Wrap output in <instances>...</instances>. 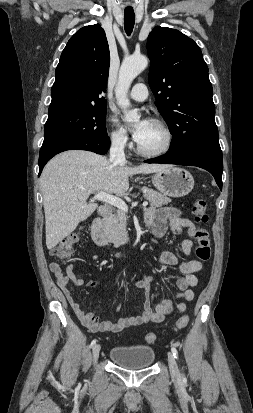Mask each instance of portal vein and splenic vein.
Listing matches in <instances>:
<instances>
[{
	"label": "portal vein and splenic vein",
	"instance_id": "1",
	"mask_svg": "<svg viewBox=\"0 0 253 413\" xmlns=\"http://www.w3.org/2000/svg\"><path fill=\"white\" fill-rule=\"evenodd\" d=\"M94 199L104 201L108 204H111V205L117 207L118 209H120L124 212H128V206L122 199H120L116 196L107 194L103 191L97 192L94 196ZM142 205H143V207H146V206H148V202L145 201V202H143Z\"/></svg>",
	"mask_w": 253,
	"mask_h": 413
}]
</instances>
